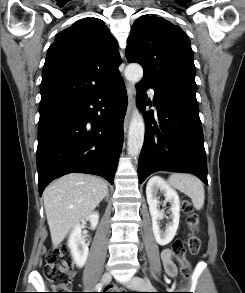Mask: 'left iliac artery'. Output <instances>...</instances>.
<instances>
[{
	"mask_svg": "<svg viewBox=\"0 0 245 293\" xmlns=\"http://www.w3.org/2000/svg\"><path fill=\"white\" fill-rule=\"evenodd\" d=\"M150 289H151V288H149V287H147V286L144 288V290H150Z\"/></svg>",
	"mask_w": 245,
	"mask_h": 293,
	"instance_id": "left-iliac-artery-1",
	"label": "left iliac artery"
}]
</instances>
